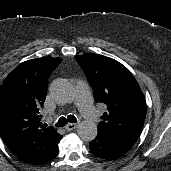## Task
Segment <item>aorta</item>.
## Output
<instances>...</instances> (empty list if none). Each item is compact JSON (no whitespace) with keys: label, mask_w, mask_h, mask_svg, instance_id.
I'll list each match as a JSON object with an SVG mask.
<instances>
[{"label":"aorta","mask_w":171,"mask_h":171,"mask_svg":"<svg viewBox=\"0 0 171 171\" xmlns=\"http://www.w3.org/2000/svg\"><path fill=\"white\" fill-rule=\"evenodd\" d=\"M53 98L61 103L71 101L73 97V90L71 85L65 80H57L51 84L50 87ZM98 133L97 126L91 121H82L77 129L78 136L84 141H92L96 138Z\"/></svg>","instance_id":"762f6f07"}]
</instances>
